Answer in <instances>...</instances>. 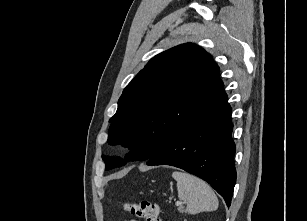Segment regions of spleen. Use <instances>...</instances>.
I'll list each match as a JSON object with an SVG mask.
<instances>
[{"mask_svg":"<svg viewBox=\"0 0 307 221\" xmlns=\"http://www.w3.org/2000/svg\"><path fill=\"white\" fill-rule=\"evenodd\" d=\"M172 177L177 181L178 197L187 204L186 213L217 210V196L206 182L185 172L175 171Z\"/></svg>","mask_w":307,"mask_h":221,"instance_id":"spleen-1","label":"spleen"}]
</instances>
